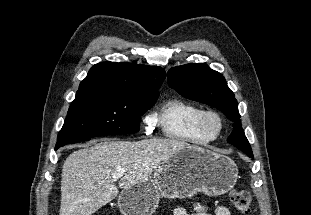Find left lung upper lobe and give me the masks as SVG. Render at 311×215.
<instances>
[{"label":"left lung upper lobe","mask_w":311,"mask_h":215,"mask_svg":"<svg viewBox=\"0 0 311 215\" xmlns=\"http://www.w3.org/2000/svg\"><path fill=\"white\" fill-rule=\"evenodd\" d=\"M167 78L169 86L185 98L216 107L233 121V131L227 141L254 158L241 127L237 100L222 74L206 64L191 63L171 68Z\"/></svg>","instance_id":"obj_1"}]
</instances>
